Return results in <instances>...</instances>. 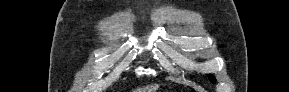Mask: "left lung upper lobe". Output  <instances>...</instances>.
Listing matches in <instances>:
<instances>
[{"label":"left lung upper lobe","mask_w":289,"mask_h":92,"mask_svg":"<svg viewBox=\"0 0 289 92\" xmlns=\"http://www.w3.org/2000/svg\"><path fill=\"white\" fill-rule=\"evenodd\" d=\"M209 79L212 81V82H215V79L212 75H209Z\"/></svg>","instance_id":"left-lung-upper-lobe-1"}]
</instances>
